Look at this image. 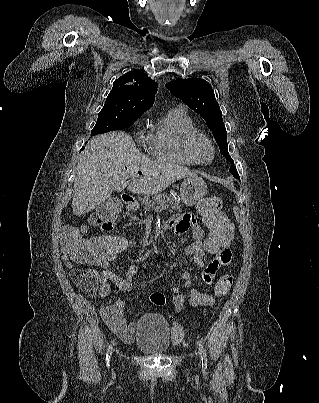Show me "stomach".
Returning <instances> with one entry per match:
<instances>
[{
  "label": "stomach",
  "mask_w": 319,
  "mask_h": 403,
  "mask_svg": "<svg viewBox=\"0 0 319 403\" xmlns=\"http://www.w3.org/2000/svg\"><path fill=\"white\" fill-rule=\"evenodd\" d=\"M207 194L206 182L195 176L187 177L180 187V196L182 202L187 206H193L204 198Z\"/></svg>",
  "instance_id": "1"
}]
</instances>
